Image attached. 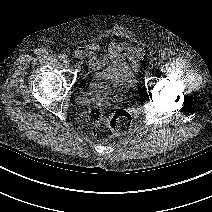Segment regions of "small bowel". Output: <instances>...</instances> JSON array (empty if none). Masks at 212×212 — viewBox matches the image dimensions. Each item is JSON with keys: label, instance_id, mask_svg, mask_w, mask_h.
Listing matches in <instances>:
<instances>
[{"label": "small bowel", "instance_id": "c3829d8e", "mask_svg": "<svg viewBox=\"0 0 212 212\" xmlns=\"http://www.w3.org/2000/svg\"><path fill=\"white\" fill-rule=\"evenodd\" d=\"M76 54L80 58H88L92 68H100L112 62L130 61L133 67L140 64L142 55L125 44L110 43L106 47L90 43L79 47Z\"/></svg>", "mask_w": 212, "mask_h": 212}]
</instances>
